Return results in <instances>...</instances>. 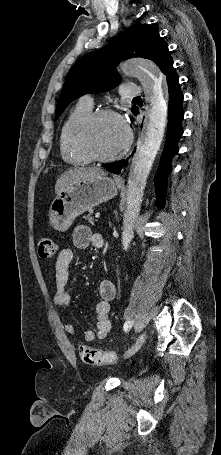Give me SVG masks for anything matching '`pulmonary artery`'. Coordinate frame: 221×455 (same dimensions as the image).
Returning <instances> with one entry per match:
<instances>
[{
  "label": "pulmonary artery",
  "instance_id": "1",
  "mask_svg": "<svg viewBox=\"0 0 221 455\" xmlns=\"http://www.w3.org/2000/svg\"><path fill=\"white\" fill-rule=\"evenodd\" d=\"M120 94L123 97H135L141 94V88L138 85L126 83L123 84L120 89ZM81 101L92 106L93 98L90 95H85L81 98Z\"/></svg>",
  "mask_w": 221,
  "mask_h": 455
}]
</instances>
